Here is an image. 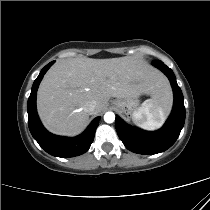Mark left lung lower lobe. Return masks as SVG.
Instances as JSON below:
<instances>
[{
    "label": "left lung lower lobe",
    "instance_id": "obj_1",
    "mask_svg": "<svg viewBox=\"0 0 210 210\" xmlns=\"http://www.w3.org/2000/svg\"><path fill=\"white\" fill-rule=\"evenodd\" d=\"M152 64L164 72L169 78L173 92V110L164 126L154 132L132 128L116 115L115 127L119 138L127 149L138 154H157L167 150L177 140L185 122L183 94L176 82L173 71L163 62L155 60Z\"/></svg>",
    "mask_w": 210,
    "mask_h": 210
}]
</instances>
